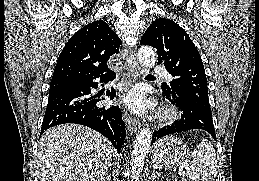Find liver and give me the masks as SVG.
<instances>
[{"label":"liver","mask_w":259,"mask_h":181,"mask_svg":"<svg viewBox=\"0 0 259 181\" xmlns=\"http://www.w3.org/2000/svg\"><path fill=\"white\" fill-rule=\"evenodd\" d=\"M114 148L100 133L78 124L48 129L39 141L41 181H103Z\"/></svg>","instance_id":"6515ba94"}]
</instances>
